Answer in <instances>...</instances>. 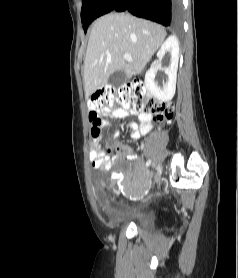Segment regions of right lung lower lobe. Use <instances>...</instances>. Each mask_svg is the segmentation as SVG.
<instances>
[{"mask_svg": "<svg viewBox=\"0 0 238 278\" xmlns=\"http://www.w3.org/2000/svg\"><path fill=\"white\" fill-rule=\"evenodd\" d=\"M113 10H127L164 26L177 27L182 20L181 0H101L90 14V23Z\"/></svg>", "mask_w": 238, "mask_h": 278, "instance_id": "98d812e1", "label": "right lung lower lobe"}]
</instances>
